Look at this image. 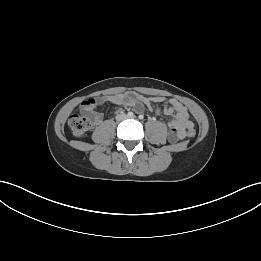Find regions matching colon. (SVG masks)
<instances>
[{
  "label": "colon",
  "instance_id": "colon-1",
  "mask_svg": "<svg viewBox=\"0 0 261 261\" xmlns=\"http://www.w3.org/2000/svg\"><path fill=\"white\" fill-rule=\"evenodd\" d=\"M68 125L74 136L82 137L90 128L91 121L87 116L75 113L70 116ZM186 132L189 137H193L195 134V130L192 126L188 127Z\"/></svg>",
  "mask_w": 261,
  "mask_h": 261
}]
</instances>
